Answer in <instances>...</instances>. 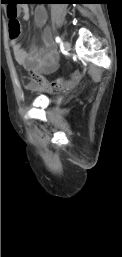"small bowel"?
Returning <instances> with one entry per match:
<instances>
[{
  "label": "small bowel",
  "instance_id": "1",
  "mask_svg": "<svg viewBox=\"0 0 122 257\" xmlns=\"http://www.w3.org/2000/svg\"><path fill=\"white\" fill-rule=\"evenodd\" d=\"M9 10H7V13ZM17 14L21 13L24 20L28 21L31 17L30 10L27 6H20L16 10ZM34 24L42 28L47 21V11L44 7H37L33 13ZM42 47H32L28 52L17 38H11L10 45L17 63L28 70L30 73L48 74L56 70L58 54L52 42L49 31L43 33Z\"/></svg>",
  "mask_w": 122,
  "mask_h": 257
}]
</instances>
